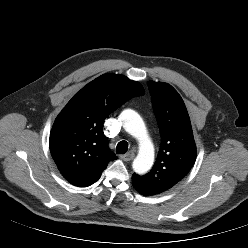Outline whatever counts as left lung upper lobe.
<instances>
[{"instance_id":"5c2ea615","label":"left lung upper lobe","mask_w":248,"mask_h":248,"mask_svg":"<svg viewBox=\"0 0 248 248\" xmlns=\"http://www.w3.org/2000/svg\"><path fill=\"white\" fill-rule=\"evenodd\" d=\"M161 146L153 168L147 174L132 175L133 186L146 195L163 193L184 179L196 160L190 118L178 92L169 84L149 81Z\"/></svg>"}]
</instances>
